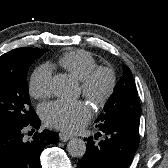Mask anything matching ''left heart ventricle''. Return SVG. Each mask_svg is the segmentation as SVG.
Instances as JSON below:
<instances>
[{
    "instance_id": "b2bd125f",
    "label": "left heart ventricle",
    "mask_w": 168,
    "mask_h": 168,
    "mask_svg": "<svg viewBox=\"0 0 168 168\" xmlns=\"http://www.w3.org/2000/svg\"><path fill=\"white\" fill-rule=\"evenodd\" d=\"M102 86H103V82L100 83V87H102Z\"/></svg>"
}]
</instances>
